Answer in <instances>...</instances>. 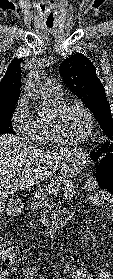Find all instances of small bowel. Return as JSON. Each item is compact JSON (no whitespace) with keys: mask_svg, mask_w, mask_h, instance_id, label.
I'll use <instances>...</instances> for the list:
<instances>
[{"mask_svg":"<svg viewBox=\"0 0 113 279\" xmlns=\"http://www.w3.org/2000/svg\"><path fill=\"white\" fill-rule=\"evenodd\" d=\"M85 190L87 192H94L95 190L94 181L89 180L85 184ZM90 200L95 205L102 204L104 200H107L111 204H113V195L95 193L91 196ZM112 221H113V210H112ZM25 273L27 279H35L34 271L32 269H26ZM71 273L74 279H113V272H110L107 269H100L96 274H86L79 269H72ZM0 279H1V275H0Z\"/></svg>","mask_w":113,"mask_h":279,"instance_id":"small-bowel-1","label":"small bowel"}]
</instances>
